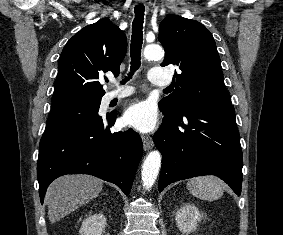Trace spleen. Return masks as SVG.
Instances as JSON below:
<instances>
[{"label": "spleen", "instance_id": "1", "mask_svg": "<svg viewBox=\"0 0 283 235\" xmlns=\"http://www.w3.org/2000/svg\"><path fill=\"white\" fill-rule=\"evenodd\" d=\"M191 194L202 200H217L223 195V182L215 176H200L187 182Z\"/></svg>", "mask_w": 283, "mask_h": 235}]
</instances>
